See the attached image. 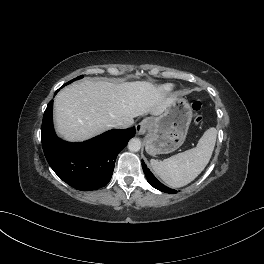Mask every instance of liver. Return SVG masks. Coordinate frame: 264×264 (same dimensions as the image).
I'll return each mask as SVG.
<instances>
[{
	"label": "liver",
	"mask_w": 264,
	"mask_h": 264,
	"mask_svg": "<svg viewBox=\"0 0 264 264\" xmlns=\"http://www.w3.org/2000/svg\"><path fill=\"white\" fill-rule=\"evenodd\" d=\"M146 81L114 84L83 80L64 88L55 98L57 133L68 141H83L123 121L128 127L134 118L150 113L161 115L176 99Z\"/></svg>",
	"instance_id": "obj_1"
}]
</instances>
